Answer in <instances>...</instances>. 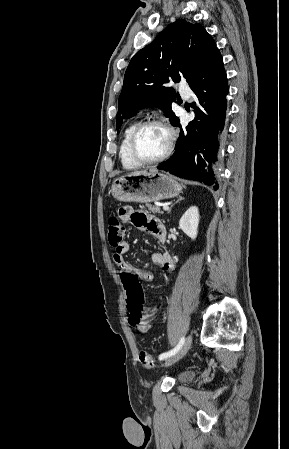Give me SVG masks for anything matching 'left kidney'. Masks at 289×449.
<instances>
[{"instance_id":"1","label":"left kidney","mask_w":289,"mask_h":449,"mask_svg":"<svg viewBox=\"0 0 289 449\" xmlns=\"http://www.w3.org/2000/svg\"><path fill=\"white\" fill-rule=\"evenodd\" d=\"M199 211L196 206H191L181 217L179 227L182 231L195 240L198 234Z\"/></svg>"}]
</instances>
